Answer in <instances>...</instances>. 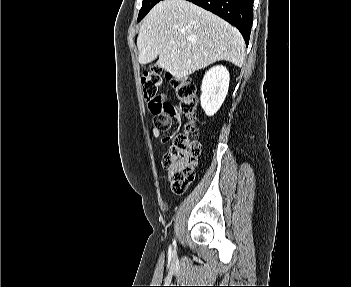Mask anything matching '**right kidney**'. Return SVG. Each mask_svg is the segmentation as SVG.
<instances>
[{"label": "right kidney", "mask_w": 351, "mask_h": 287, "mask_svg": "<svg viewBox=\"0 0 351 287\" xmlns=\"http://www.w3.org/2000/svg\"><path fill=\"white\" fill-rule=\"evenodd\" d=\"M229 72L217 65L204 75L201 86V107L207 116H213L223 104L229 88Z\"/></svg>", "instance_id": "1"}]
</instances>
